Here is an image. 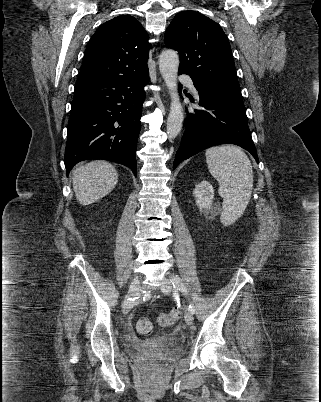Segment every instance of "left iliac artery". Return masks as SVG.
Masks as SVG:
<instances>
[{
  "instance_id": "obj_1",
  "label": "left iliac artery",
  "mask_w": 321,
  "mask_h": 402,
  "mask_svg": "<svg viewBox=\"0 0 321 402\" xmlns=\"http://www.w3.org/2000/svg\"><path fill=\"white\" fill-rule=\"evenodd\" d=\"M170 280H171V282L173 284V287L176 290H179L184 295H188V291H187L184 283L182 282V280L177 275H172ZM188 309L192 314H194L195 308H194L193 303L190 302Z\"/></svg>"
}]
</instances>
